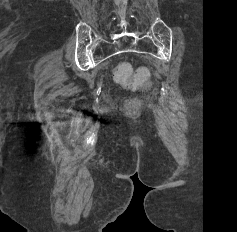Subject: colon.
Listing matches in <instances>:
<instances>
[{
  "mask_svg": "<svg viewBox=\"0 0 237 232\" xmlns=\"http://www.w3.org/2000/svg\"><path fill=\"white\" fill-rule=\"evenodd\" d=\"M114 79L117 83L130 90H136L149 82V71L146 68H139L134 74L127 63L119 64L114 71Z\"/></svg>",
  "mask_w": 237,
  "mask_h": 232,
  "instance_id": "1",
  "label": "colon"
}]
</instances>
